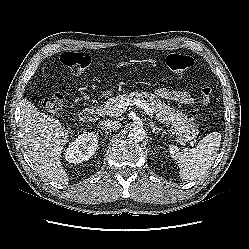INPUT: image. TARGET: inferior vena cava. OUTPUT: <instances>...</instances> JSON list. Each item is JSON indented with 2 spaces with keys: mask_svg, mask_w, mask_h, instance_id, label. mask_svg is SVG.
Listing matches in <instances>:
<instances>
[{
  "mask_svg": "<svg viewBox=\"0 0 249 249\" xmlns=\"http://www.w3.org/2000/svg\"><path fill=\"white\" fill-rule=\"evenodd\" d=\"M100 126L109 130H118L121 127V123L119 121L103 120L100 122Z\"/></svg>",
  "mask_w": 249,
  "mask_h": 249,
  "instance_id": "602c4592",
  "label": "inferior vena cava"
}]
</instances>
